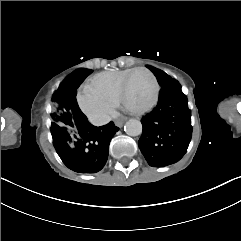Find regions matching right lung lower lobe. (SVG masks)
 Wrapping results in <instances>:
<instances>
[{
	"label": "right lung lower lobe",
	"mask_w": 241,
	"mask_h": 241,
	"mask_svg": "<svg viewBox=\"0 0 241 241\" xmlns=\"http://www.w3.org/2000/svg\"><path fill=\"white\" fill-rule=\"evenodd\" d=\"M86 77L82 69H78L66 78L68 92L65 100L74 129L72 132L52 133V138L59 157L69 169L96 173L104 167L110 141L119 128L113 122L101 127L93 126L81 112L76 101V89Z\"/></svg>",
	"instance_id": "right-lung-lower-lobe-1"
}]
</instances>
